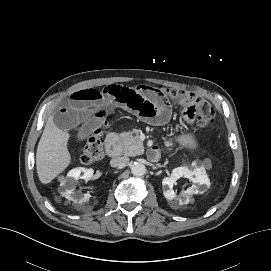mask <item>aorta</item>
<instances>
[{"mask_svg":"<svg viewBox=\"0 0 271 271\" xmlns=\"http://www.w3.org/2000/svg\"><path fill=\"white\" fill-rule=\"evenodd\" d=\"M131 173L134 176H143L146 173V167L142 163H134L131 166Z\"/></svg>","mask_w":271,"mask_h":271,"instance_id":"1","label":"aorta"}]
</instances>
